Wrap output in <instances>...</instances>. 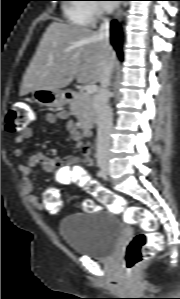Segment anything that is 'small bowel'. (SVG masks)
<instances>
[{"label":"small bowel","instance_id":"1","mask_svg":"<svg viewBox=\"0 0 180 299\" xmlns=\"http://www.w3.org/2000/svg\"><path fill=\"white\" fill-rule=\"evenodd\" d=\"M45 119L50 124H55L58 120L66 121L68 140L74 143L76 152H82L83 165L79 164V158L76 155L55 159L40 152L32 153L26 162H19L17 164V168L22 174V189L27 195L30 204L35 208H41V202L38 196L33 193L31 174L34 167H41L47 172L58 169L59 173L57 180L62 184H68L71 182L73 177L78 174L83 166H89L92 163V160L89 156L91 152V146L83 142L82 134L77 129L74 121L69 118V115L66 111L48 113L46 114ZM32 136L33 130L31 128H25L19 135L15 137L14 142L18 146L14 149L13 153L16 157H21L23 155L24 151L21 145L25 140L30 139Z\"/></svg>","mask_w":180,"mask_h":299}]
</instances>
